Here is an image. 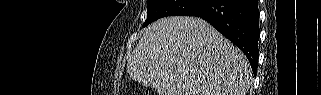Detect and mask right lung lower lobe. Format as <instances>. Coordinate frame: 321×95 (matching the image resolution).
<instances>
[{"label":"right lung lower lobe","instance_id":"1","mask_svg":"<svg viewBox=\"0 0 321 95\" xmlns=\"http://www.w3.org/2000/svg\"><path fill=\"white\" fill-rule=\"evenodd\" d=\"M189 16L206 20L237 45L256 74L260 36L257 0H207Z\"/></svg>","mask_w":321,"mask_h":95}]
</instances>
